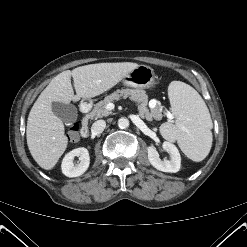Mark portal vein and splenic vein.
Segmentation results:
<instances>
[{"label":"portal vein and splenic vein","mask_w":247,"mask_h":247,"mask_svg":"<svg viewBox=\"0 0 247 247\" xmlns=\"http://www.w3.org/2000/svg\"><path fill=\"white\" fill-rule=\"evenodd\" d=\"M114 105L112 103L107 104V109H113ZM168 119H174V115L170 112L166 113Z\"/></svg>","instance_id":"18ae733b"}]
</instances>
